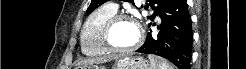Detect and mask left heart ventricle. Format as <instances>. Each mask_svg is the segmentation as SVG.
<instances>
[{
    "instance_id": "1",
    "label": "left heart ventricle",
    "mask_w": 246,
    "mask_h": 69,
    "mask_svg": "<svg viewBox=\"0 0 246 69\" xmlns=\"http://www.w3.org/2000/svg\"><path fill=\"white\" fill-rule=\"evenodd\" d=\"M138 37L135 24L128 20L118 22L111 34L110 41L117 48H128L133 45Z\"/></svg>"
}]
</instances>
